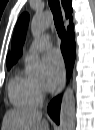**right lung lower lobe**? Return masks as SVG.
Returning a JSON list of instances; mask_svg holds the SVG:
<instances>
[{
	"label": "right lung lower lobe",
	"instance_id": "1",
	"mask_svg": "<svg viewBox=\"0 0 95 130\" xmlns=\"http://www.w3.org/2000/svg\"><path fill=\"white\" fill-rule=\"evenodd\" d=\"M61 51L66 62L67 74L69 77L75 59V42L72 28L68 29L66 38L61 44ZM60 103L61 97L58 96L57 98L53 99L48 107V113L56 123H59L60 121Z\"/></svg>",
	"mask_w": 95,
	"mask_h": 130
}]
</instances>
